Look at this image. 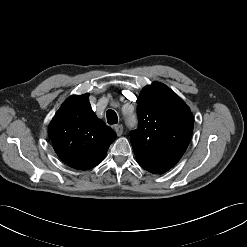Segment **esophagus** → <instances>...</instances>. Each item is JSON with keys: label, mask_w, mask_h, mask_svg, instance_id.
Instances as JSON below:
<instances>
[{"label": "esophagus", "mask_w": 247, "mask_h": 247, "mask_svg": "<svg viewBox=\"0 0 247 247\" xmlns=\"http://www.w3.org/2000/svg\"><path fill=\"white\" fill-rule=\"evenodd\" d=\"M114 130L118 136H121L123 133V126L121 124L115 125Z\"/></svg>", "instance_id": "esophagus-1"}]
</instances>
